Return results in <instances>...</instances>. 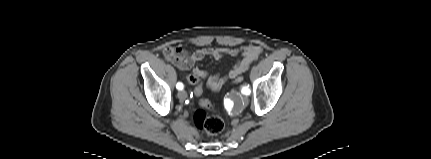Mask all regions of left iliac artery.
<instances>
[{"mask_svg":"<svg viewBox=\"0 0 431 159\" xmlns=\"http://www.w3.org/2000/svg\"><path fill=\"white\" fill-rule=\"evenodd\" d=\"M242 93L245 94V95H249L250 94V89L247 86H245V87L242 88Z\"/></svg>","mask_w":431,"mask_h":159,"instance_id":"obj_1","label":"left iliac artery"}]
</instances>
